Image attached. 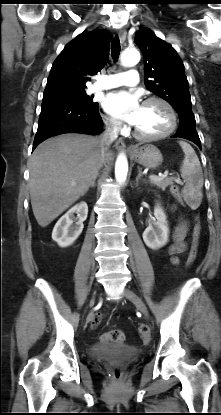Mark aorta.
<instances>
[{
  "label": "aorta",
  "instance_id": "obj_1",
  "mask_svg": "<svg viewBox=\"0 0 221 415\" xmlns=\"http://www.w3.org/2000/svg\"><path fill=\"white\" fill-rule=\"evenodd\" d=\"M140 61V53L136 49L125 50L121 55V63L125 67L135 66ZM128 173V161L124 153H120L115 163V178L124 184Z\"/></svg>",
  "mask_w": 221,
  "mask_h": 415
}]
</instances>
